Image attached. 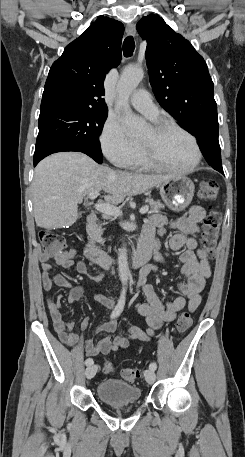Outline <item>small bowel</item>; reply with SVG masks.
<instances>
[{
	"instance_id": "1",
	"label": "small bowel",
	"mask_w": 245,
	"mask_h": 457,
	"mask_svg": "<svg viewBox=\"0 0 245 457\" xmlns=\"http://www.w3.org/2000/svg\"><path fill=\"white\" fill-rule=\"evenodd\" d=\"M205 216V209L196 205L192 206L184 217L173 222H169L164 214L155 213L144 226L141 246L151 249L154 259L158 262L164 261V258L159 253L158 237L163 236L168 229L177 230L171 236L169 244L173 250L184 249L180 255V260L182 262L181 272L186 278V281L179 283V290L182 296L169 301L167 304H163L156 295L153 286L146 283L147 276L151 272L156 271L157 267L155 265H148L141 270L136 288L137 292L141 293L146 301L137 303L136 309L147 321L148 328L146 330L130 326L125 335L114 338L104 337L97 343H94L92 338L84 339L72 332L74 322L64 320L61 314V297L48 296V309L59 339L64 344L75 347L88 356L108 354L119 349L127 348L131 340L148 341L163 323L173 321L177 313L186 306L190 311H195L201 303L200 294L206 280L210 276L209 262L206 256L202 254L201 249L198 248L197 242L200 225L205 219ZM72 257L73 251L64 249L53 258L61 267L71 268L75 266L77 272L89 275L87 265L82 262L75 264ZM50 258L44 254L40 256L43 289L49 292L54 286L66 287L69 288V303L80 299L83 294V288L81 286L71 285L60 274H54L53 267L49 263ZM92 278L94 280H100L101 276H92ZM94 298L102 305L112 309L109 320L99 327L98 332H114L120 315H113L116 311L117 304L102 294H95ZM87 325L88 319L86 318L81 323V330H84Z\"/></svg>"
}]
</instances>
